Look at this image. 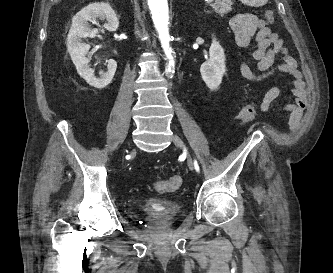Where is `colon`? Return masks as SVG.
I'll return each mask as SVG.
<instances>
[{
    "mask_svg": "<svg viewBox=\"0 0 333 273\" xmlns=\"http://www.w3.org/2000/svg\"><path fill=\"white\" fill-rule=\"evenodd\" d=\"M265 19L267 22L272 23L274 21V12L268 10L265 12ZM257 113V106L252 103H248L242 106L240 111V118L243 122H249L253 120ZM182 185V178L179 175H173L168 179H162L155 182V190L159 193H172L177 191Z\"/></svg>",
    "mask_w": 333,
    "mask_h": 273,
    "instance_id": "5ec220e1",
    "label": "colon"
}]
</instances>
